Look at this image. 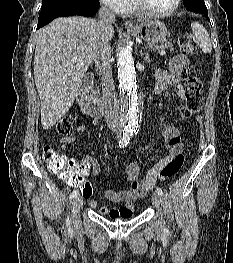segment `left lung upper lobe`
<instances>
[{"instance_id": "obj_1", "label": "left lung upper lobe", "mask_w": 233, "mask_h": 263, "mask_svg": "<svg viewBox=\"0 0 233 263\" xmlns=\"http://www.w3.org/2000/svg\"><path fill=\"white\" fill-rule=\"evenodd\" d=\"M183 2L189 11L196 13H203L207 11L204 0H183Z\"/></svg>"}]
</instances>
